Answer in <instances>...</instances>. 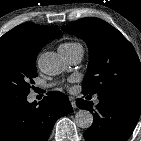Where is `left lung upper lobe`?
Wrapping results in <instances>:
<instances>
[{"instance_id": "left-lung-upper-lobe-1", "label": "left lung upper lobe", "mask_w": 141, "mask_h": 141, "mask_svg": "<svg viewBox=\"0 0 141 141\" xmlns=\"http://www.w3.org/2000/svg\"><path fill=\"white\" fill-rule=\"evenodd\" d=\"M89 47L87 75L83 80L84 94L141 95V63L131 43L113 26L90 17L62 27Z\"/></svg>"}]
</instances>
